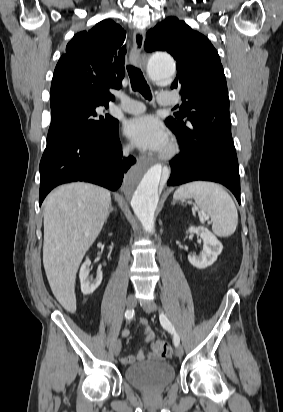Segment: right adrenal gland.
Masks as SVG:
<instances>
[{
	"label": "right adrenal gland",
	"instance_id": "1",
	"mask_svg": "<svg viewBox=\"0 0 283 412\" xmlns=\"http://www.w3.org/2000/svg\"><path fill=\"white\" fill-rule=\"evenodd\" d=\"M112 211H114V208H113V206H112V203H110V207H109V210H108V213H107L106 220L108 219V217H109V215H110V213H111Z\"/></svg>",
	"mask_w": 283,
	"mask_h": 412
}]
</instances>
